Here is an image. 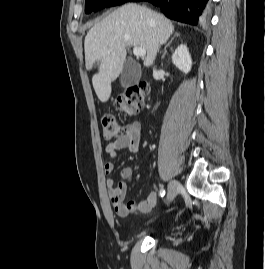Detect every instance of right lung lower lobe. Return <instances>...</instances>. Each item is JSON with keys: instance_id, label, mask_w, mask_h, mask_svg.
Returning a JSON list of instances; mask_svg holds the SVG:
<instances>
[{"instance_id": "right-lung-lower-lobe-1", "label": "right lung lower lobe", "mask_w": 265, "mask_h": 269, "mask_svg": "<svg viewBox=\"0 0 265 269\" xmlns=\"http://www.w3.org/2000/svg\"><path fill=\"white\" fill-rule=\"evenodd\" d=\"M148 1L161 8L169 18L196 25L208 0H129L128 2Z\"/></svg>"}]
</instances>
